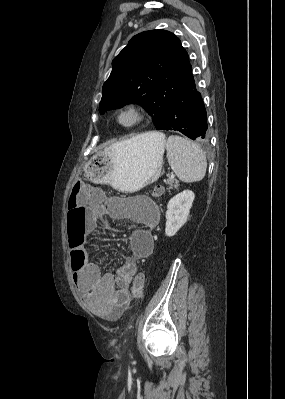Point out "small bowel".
I'll return each mask as SVG.
<instances>
[{
    "label": "small bowel",
    "instance_id": "small-bowel-1",
    "mask_svg": "<svg viewBox=\"0 0 285 399\" xmlns=\"http://www.w3.org/2000/svg\"><path fill=\"white\" fill-rule=\"evenodd\" d=\"M75 199L79 207L88 204V197L83 194H78ZM120 209L121 205L115 201L97 205L95 207L96 217L126 218L129 216L128 213L118 212ZM138 211L140 216L134 220L144 225L135 228L129 236L130 256L119 268L116 276L109 271H102L101 261L94 260L93 256L85 251V247L93 242L87 233L86 224L84 222L72 224L69 218L67 220L68 234L73 233L78 241L77 246L71 251V258L73 260L76 251L83 252L84 255L83 266L74 273L73 281L84 303L103 319H118L131 299L143 297V292L141 295H137L129 286L137 276V262L149 256L153 250L154 241L151 232L154 230L159 213L148 212L140 207ZM145 216L152 221H147Z\"/></svg>",
    "mask_w": 285,
    "mask_h": 399
}]
</instances>
